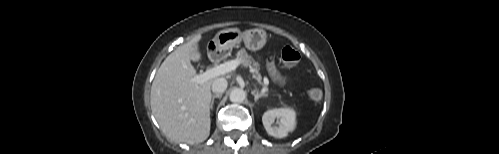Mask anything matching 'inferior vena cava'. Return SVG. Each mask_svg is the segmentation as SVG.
<instances>
[{
  "instance_id": "inferior-vena-cava-1",
  "label": "inferior vena cava",
  "mask_w": 499,
  "mask_h": 154,
  "mask_svg": "<svg viewBox=\"0 0 499 154\" xmlns=\"http://www.w3.org/2000/svg\"><path fill=\"white\" fill-rule=\"evenodd\" d=\"M227 80L225 78H216L212 83V91L216 94H222L227 89Z\"/></svg>"
}]
</instances>
